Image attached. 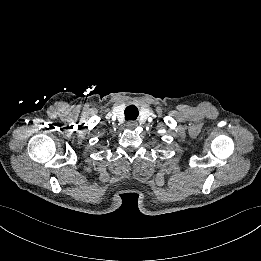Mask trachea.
I'll use <instances>...</instances> for the list:
<instances>
[{
	"label": "trachea",
	"instance_id": "3493384b",
	"mask_svg": "<svg viewBox=\"0 0 261 261\" xmlns=\"http://www.w3.org/2000/svg\"><path fill=\"white\" fill-rule=\"evenodd\" d=\"M139 115V111L135 105H129L125 109V119L126 120H136Z\"/></svg>",
	"mask_w": 261,
	"mask_h": 261
}]
</instances>
